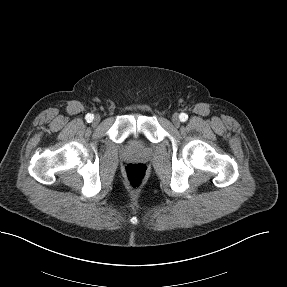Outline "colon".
I'll list each match as a JSON object with an SVG mask.
<instances>
[{
    "instance_id": "1",
    "label": "colon",
    "mask_w": 287,
    "mask_h": 287,
    "mask_svg": "<svg viewBox=\"0 0 287 287\" xmlns=\"http://www.w3.org/2000/svg\"><path fill=\"white\" fill-rule=\"evenodd\" d=\"M148 168L142 163H129L124 167L123 175L132 190H138L144 184Z\"/></svg>"
}]
</instances>
